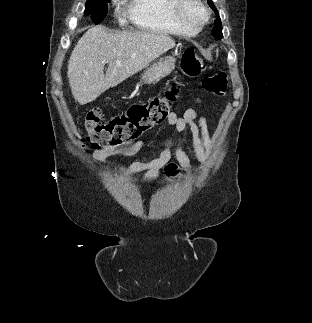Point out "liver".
I'll list each match as a JSON object with an SVG mask.
<instances>
[{
  "instance_id": "obj_1",
  "label": "liver",
  "mask_w": 312,
  "mask_h": 323,
  "mask_svg": "<svg viewBox=\"0 0 312 323\" xmlns=\"http://www.w3.org/2000/svg\"><path fill=\"white\" fill-rule=\"evenodd\" d=\"M168 34L108 32L93 26L76 44L68 62V80L74 100L81 106L147 68L150 62L175 48ZM120 64H116V62ZM108 70L104 74V66Z\"/></svg>"
}]
</instances>
